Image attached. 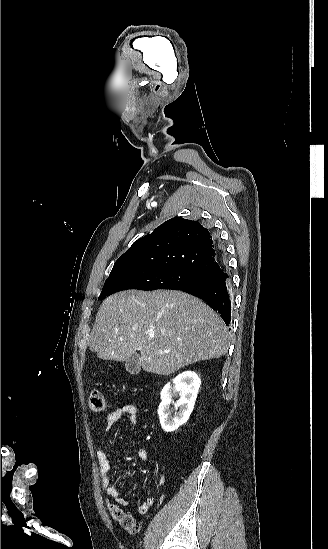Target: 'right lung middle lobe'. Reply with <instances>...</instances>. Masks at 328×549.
<instances>
[{"label": "right lung middle lobe", "mask_w": 328, "mask_h": 549, "mask_svg": "<svg viewBox=\"0 0 328 549\" xmlns=\"http://www.w3.org/2000/svg\"><path fill=\"white\" fill-rule=\"evenodd\" d=\"M204 279L206 277L203 275L182 268L154 265L127 266L110 273L98 299H104L115 292L127 289L179 290Z\"/></svg>", "instance_id": "obj_1"}]
</instances>
